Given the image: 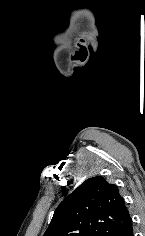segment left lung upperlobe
<instances>
[{"label":"left lung upper lobe","instance_id":"1","mask_svg":"<svg viewBox=\"0 0 145 236\" xmlns=\"http://www.w3.org/2000/svg\"><path fill=\"white\" fill-rule=\"evenodd\" d=\"M130 220L117 186L96 176L59 204L43 236H117Z\"/></svg>","mask_w":145,"mask_h":236}]
</instances>
